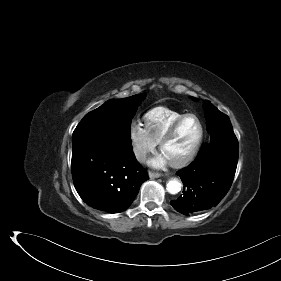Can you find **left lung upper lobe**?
<instances>
[{"mask_svg": "<svg viewBox=\"0 0 281 281\" xmlns=\"http://www.w3.org/2000/svg\"><path fill=\"white\" fill-rule=\"evenodd\" d=\"M207 129L210 133L209 146L215 149L238 146L230 119L220 112L210 101L205 102Z\"/></svg>", "mask_w": 281, "mask_h": 281, "instance_id": "5c2ea615", "label": "left lung upper lobe"}]
</instances>
